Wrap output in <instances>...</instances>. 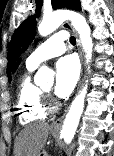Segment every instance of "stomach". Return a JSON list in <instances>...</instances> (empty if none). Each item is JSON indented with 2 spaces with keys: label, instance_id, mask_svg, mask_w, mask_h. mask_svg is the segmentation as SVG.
<instances>
[{
  "label": "stomach",
  "instance_id": "obj_1",
  "mask_svg": "<svg viewBox=\"0 0 114 156\" xmlns=\"http://www.w3.org/2000/svg\"><path fill=\"white\" fill-rule=\"evenodd\" d=\"M50 131L53 135H55L58 132V130L54 127H51ZM39 156H47V155H46V153L43 152V153H40Z\"/></svg>",
  "mask_w": 114,
  "mask_h": 156
}]
</instances>
